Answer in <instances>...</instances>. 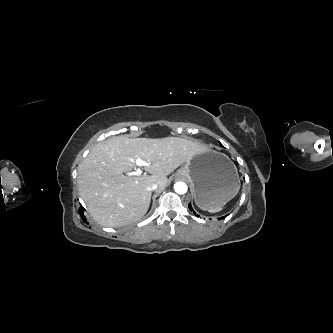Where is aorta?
<instances>
[{"label":"aorta","mask_w":333,"mask_h":333,"mask_svg":"<svg viewBox=\"0 0 333 333\" xmlns=\"http://www.w3.org/2000/svg\"><path fill=\"white\" fill-rule=\"evenodd\" d=\"M175 192L178 194H185L188 190L186 183L184 182H177L174 185Z\"/></svg>","instance_id":"762f6f07"}]
</instances>
